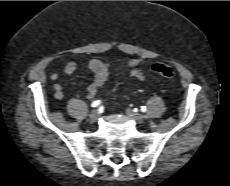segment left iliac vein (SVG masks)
Masks as SVG:
<instances>
[{
	"mask_svg": "<svg viewBox=\"0 0 230 186\" xmlns=\"http://www.w3.org/2000/svg\"><path fill=\"white\" fill-rule=\"evenodd\" d=\"M126 114L128 117H130L131 119H133L137 123H142L144 120V116L142 114L136 113L130 108H128L126 110Z\"/></svg>",
	"mask_w": 230,
	"mask_h": 186,
	"instance_id": "1",
	"label": "left iliac vein"
}]
</instances>
